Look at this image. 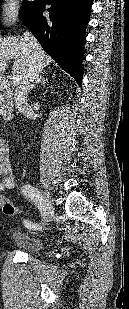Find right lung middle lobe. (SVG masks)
<instances>
[{
	"label": "right lung middle lobe",
	"instance_id": "dd1d6c3e",
	"mask_svg": "<svg viewBox=\"0 0 129 309\" xmlns=\"http://www.w3.org/2000/svg\"><path fill=\"white\" fill-rule=\"evenodd\" d=\"M0 4H1V0H0ZM35 2H27L25 1L23 4V9H22V13H21V19H24L25 16L28 14V12L30 11V9L34 6Z\"/></svg>",
	"mask_w": 129,
	"mask_h": 309
}]
</instances>
